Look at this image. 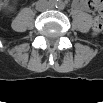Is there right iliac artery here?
<instances>
[{"mask_svg":"<svg viewBox=\"0 0 103 103\" xmlns=\"http://www.w3.org/2000/svg\"><path fill=\"white\" fill-rule=\"evenodd\" d=\"M50 3H51L52 5H56V4H57V1H56V0H51Z\"/></svg>","mask_w":103,"mask_h":103,"instance_id":"right-iliac-artery-1","label":"right iliac artery"}]
</instances>
